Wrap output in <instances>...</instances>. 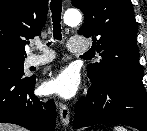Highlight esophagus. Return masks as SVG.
<instances>
[{"label": "esophagus", "mask_w": 147, "mask_h": 131, "mask_svg": "<svg viewBox=\"0 0 147 131\" xmlns=\"http://www.w3.org/2000/svg\"><path fill=\"white\" fill-rule=\"evenodd\" d=\"M59 114H60L61 123L64 126H67L70 121V110L67 104L61 101L59 102Z\"/></svg>", "instance_id": "esophagus-1"}]
</instances>
